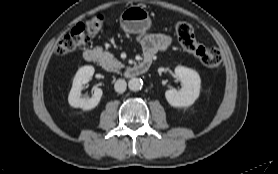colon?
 <instances>
[{
  "label": "colon",
  "mask_w": 278,
  "mask_h": 174,
  "mask_svg": "<svg viewBox=\"0 0 278 174\" xmlns=\"http://www.w3.org/2000/svg\"><path fill=\"white\" fill-rule=\"evenodd\" d=\"M103 22V17L97 15L76 24L60 39L56 47V53L63 56L86 46L92 36L102 28ZM176 34L181 47L199 59L204 66L216 67L220 65L222 61L220 50L218 48H207L200 44L196 40L194 30L189 23H178Z\"/></svg>",
  "instance_id": "5ec220e1"
}]
</instances>
